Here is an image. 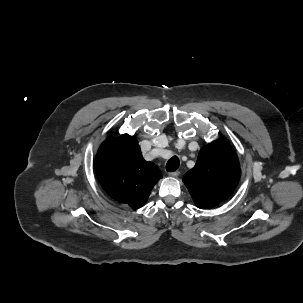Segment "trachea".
Instances as JSON below:
<instances>
[{
  "mask_svg": "<svg viewBox=\"0 0 303 303\" xmlns=\"http://www.w3.org/2000/svg\"><path fill=\"white\" fill-rule=\"evenodd\" d=\"M180 161L177 156L170 158L166 164V170L168 172H174L179 167Z\"/></svg>",
  "mask_w": 303,
  "mask_h": 303,
  "instance_id": "1",
  "label": "trachea"
}]
</instances>
